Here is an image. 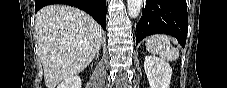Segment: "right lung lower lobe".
I'll return each mask as SVG.
<instances>
[{
	"label": "right lung lower lobe",
	"mask_w": 227,
	"mask_h": 88,
	"mask_svg": "<svg viewBox=\"0 0 227 88\" xmlns=\"http://www.w3.org/2000/svg\"><path fill=\"white\" fill-rule=\"evenodd\" d=\"M50 4H67L90 14L106 30V0H36L35 12Z\"/></svg>",
	"instance_id": "obj_1"
}]
</instances>
